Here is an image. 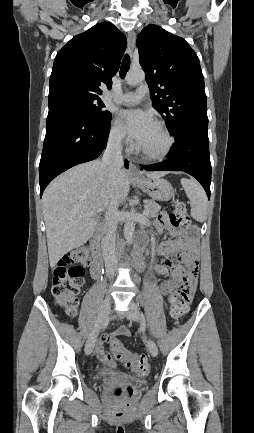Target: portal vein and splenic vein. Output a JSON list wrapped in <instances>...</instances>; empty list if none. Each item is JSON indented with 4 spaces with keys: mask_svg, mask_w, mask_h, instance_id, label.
<instances>
[{
    "mask_svg": "<svg viewBox=\"0 0 254 433\" xmlns=\"http://www.w3.org/2000/svg\"><path fill=\"white\" fill-rule=\"evenodd\" d=\"M148 214V208H145V210L143 211V215H147Z\"/></svg>",
    "mask_w": 254,
    "mask_h": 433,
    "instance_id": "18ae733b",
    "label": "portal vein and splenic vein"
}]
</instances>
